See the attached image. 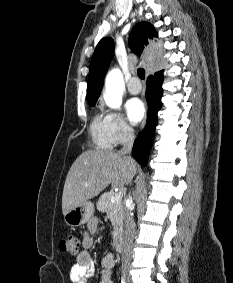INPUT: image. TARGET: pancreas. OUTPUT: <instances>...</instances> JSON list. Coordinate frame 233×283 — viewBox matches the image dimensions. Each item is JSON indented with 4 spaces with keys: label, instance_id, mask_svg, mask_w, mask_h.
<instances>
[{
    "label": "pancreas",
    "instance_id": "cf45deb5",
    "mask_svg": "<svg viewBox=\"0 0 233 283\" xmlns=\"http://www.w3.org/2000/svg\"><path fill=\"white\" fill-rule=\"evenodd\" d=\"M113 195H115L113 191L102 194L97 202V208L110 217L114 229L113 234L117 236L122 231L124 206L121 200L111 202Z\"/></svg>",
    "mask_w": 233,
    "mask_h": 283
}]
</instances>
